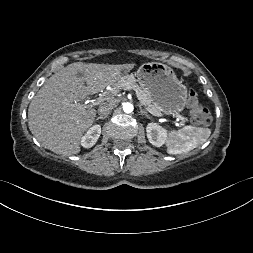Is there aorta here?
Segmentation results:
<instances>
[{
	"label": "aorta",
	"instance_id": "762f6f07",
	"mask_svg": "<svg viewBox=\"0 0 253 253\" xmlns=\"http://www.w3.org/2000/svg\"><path fill=\"white\" fill-rule=\"evenodd\" d=\"M133 109H134L133 104L129 102L123 104V110L125 113H131Z\"/></svg>",
	"mask_w": 253,
	"mask_h": 253
}]
</instances>
